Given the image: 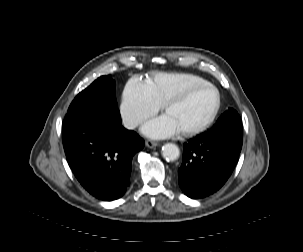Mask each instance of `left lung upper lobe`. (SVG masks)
<instances>
[{"mask_svg":"<svg viewBox=\"0 0 303 252\" xmlns=\"http://www.w3.org/2000/svg\"><path fill=\"white\" fill-rule=\"evenodd\" d=\"M204 134L207 136H243L241 118L234 109L229 108L221 115L213 128Z\"/></svg>","mask_w":303,"mask_h":252,"instance_id":"left-lung-upper-lobe-1","label":"left lung upper lobe"}]
</instances>
